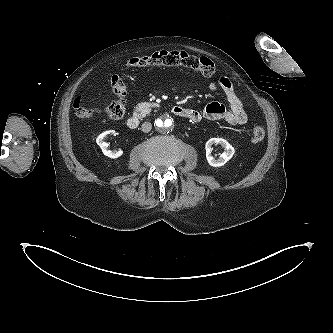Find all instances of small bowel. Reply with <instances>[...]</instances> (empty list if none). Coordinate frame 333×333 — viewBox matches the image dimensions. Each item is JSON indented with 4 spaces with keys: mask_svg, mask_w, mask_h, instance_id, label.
<instances>
[{
    "mask_svg": "<svg viewBox=\"0 0 333 333\" xmlns=\"http://www.w3.org/2000/svg\"><path fill=\"white\" fill-rule=\"evenodd\" d=\"M211 91L221 90L229 104V108L218 102H211L199 111L191 108H185V118L193 122L209 120L213 122L223 121L230 125H243L247 122V114L241 100L236 95L231 80L226 77H220L216 82L209 85Z\"/></svg>",
    "mask_w": 333,
    "mask_h": 333,
    "instance_id": "c3829d8e",
    "label": "small bowel"
}]
</instances>
